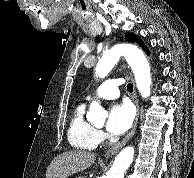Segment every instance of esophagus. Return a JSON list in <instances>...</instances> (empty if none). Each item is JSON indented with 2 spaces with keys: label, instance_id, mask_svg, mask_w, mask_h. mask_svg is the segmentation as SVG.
Masks as SVG:
<instances>
[{
  "label": "esophagus",
  "instance_id": "34e87169",
  "mask_svg": "<svg viewBox=\"0 0 194 178\" xmlns=\"http://www.w3.org/2000/svg\"><path fill=\"white\" fill-rule=\"evenodd\" d=\"M134 82V80H133ZM133 101L136 105V109H137V113H136V117L134 120V123L132 125L131 130L129 131V133L117 144H115L114 146H112L106 153H105V157H112L115 154H117L120 149L132 138V136L134 135L136 128H137V124H138V118H139V114H140V107H139V101H138V97H137V91H136V87L134 84V91H133Z\"/></svg>",
  "mask_w": 194,
  "mask_h": 178
}]
</instances>
